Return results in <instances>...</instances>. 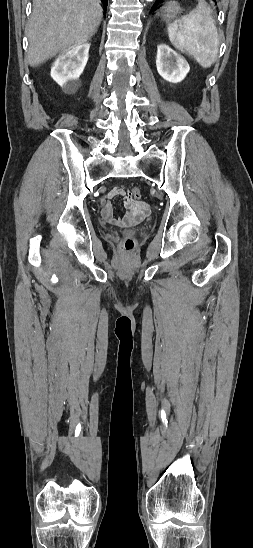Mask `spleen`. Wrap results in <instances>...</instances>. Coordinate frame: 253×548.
Segmentation results:
<instances>
[{
	"label": "spleen",
	"mask_w": 253,
	"mask_h": 548,
	"mask_svg": "<svg viewBox=\"0 0 253 548\" xmlns=\"http://www.w3.org/2000/svg\"><path fill=\"white\" fill-rule=\"evenodd\" d=\"M171 43L181 52L192 56L204 69L217 60L218 32L213 11L204 0H198L195 9L168 25Z\"/></svg>",
	"instance_id": "spleen-1"
}]
</instances>
